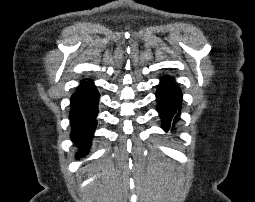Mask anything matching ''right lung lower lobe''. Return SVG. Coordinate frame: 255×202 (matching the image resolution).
I'll return each instance as SVG.
<instances>
[{
	"instance_id": "obj_1",
	"label": "right lung lower lobe",
	"mask_w": 255,
	"mask_h": 202,
	"mask_svg": "<svg viewBox=\"0 0 255 202\" xmlns=\"http://www.w3.org/2000/svg\"><path fill=\"white\" fill-rule=\"evenodd\" d=\"M100 94L91 82H83L71 96V139L79 148V156L87 154L96 129ZM78 158V154L76 155Z\"/></svg>"
}]
</instances>
